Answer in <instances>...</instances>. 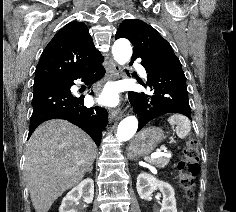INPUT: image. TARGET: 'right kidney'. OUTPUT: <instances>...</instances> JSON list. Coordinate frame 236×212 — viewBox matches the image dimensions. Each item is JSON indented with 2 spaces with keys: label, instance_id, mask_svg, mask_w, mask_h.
<instances>
[{
  "label": "right kidney",
  "instance_id": "right-kidney-1",
  "mask_svg": "<svg viewBox=\"0 0 236 212\" xmlns=\"http://www.w3.org/2000/svg\"><path fill=\"white\" fill-rule=\"evenodd\" d=\"M81 197L87 204L92 202L94 197V182L92 179H84L69 191L62 200L59 212H76L74 206Z\"/></svg>",
  "mask_w": 236,
  "mask_h": 212
}]
</instances>
